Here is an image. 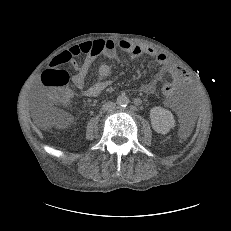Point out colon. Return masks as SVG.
I'll return each instance as SVG.
<instances>
[{
  "instance_id": "5ec220e1",
  "label": "colon",
  "mask_w": 231,
  "mask_h": 231,
  "mask_svg": "<svg viewBox=\"0 0 231 231\" xmlns=\"http://www.w3.org/2000/svg\"><path fill=\"white\" fill-rule=\"evenodd\" d=\"M59 59L56 66L47 69L42 75V82L46 87V97L49 106L43 111V121L47 127H61L67 122V114L63 110L70 101L68 89L69 74L63 69L56 68L67 58L65 55L56 57ZM161 92L167 97H173L177 93L176 84L167 79L161 84Z\"/></svg>"
}]
</instances>
